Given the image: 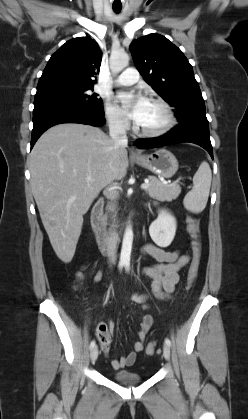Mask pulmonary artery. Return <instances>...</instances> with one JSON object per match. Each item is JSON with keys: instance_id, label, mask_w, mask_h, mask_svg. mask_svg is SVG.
Instances as JSON below:
<instances>
[{"instance_id": "obj_1", "label": "pulmonary artery", "mask_w": 248, "mask_h": 419, "mask_svg": "<svg viewBox=\"0 0 248 419\" xmlns=\"http://www.w3.org/2000/svg\"><path fill=\"white\" fill-rule=\"evenodd\" d=\"M139 80V73L134 68H127L115 81L116 85L130 86Z\"/></svg>"}]
</instances>
